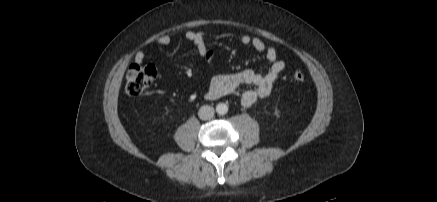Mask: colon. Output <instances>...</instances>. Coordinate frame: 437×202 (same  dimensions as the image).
I'll use <instances>...</instances> for the list:
<instances>
[{"instance_id": "obj_1", "label": "colon", "mask_w": 437, "mask_h": 202, "mask_svg": "<svg viewBox=\"0 0 437 202\" xmlns=\"http://www.w3.org/2000/svg\"><path fill=\"white\" fill-rule=\"evenodd\" d=\"M156 77L157 71L153 65L132 64L126 73V93L130 96L140 95L154 83ZM292 78L295 82H303L305 75L301 71H295Z\"/></svg>"}]
</instances>
